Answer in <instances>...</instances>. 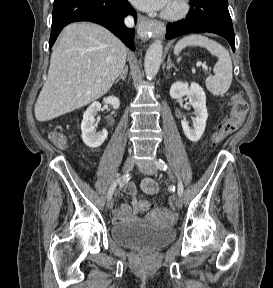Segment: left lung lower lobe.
Instances as JSON below:
<instances>
[{
  "label": "left lung lower lobe",
  "mask_w": 273,
  "mask_h": 288,
  "mask_svg": "<svg viewBox=\"0 0 273 288\" xmlns=\"http://www.w3.org/2000/svg\"><path fill=\"white\" fill-rule=\"evenodd\" d=\"M185 19L166 26V38L187 33L212 32L224 37L235 51V36L227 0H190Z\"/></svg>",
  "instance_id": "1"
}]
</instances>
